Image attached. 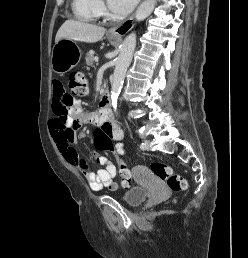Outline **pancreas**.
Instances as JSON below:
<instances>
[{
    "mask_svg": "<svg viewBox=\"0 0 248 258\" xmlns=\"http://www.w3.org/2000/svg\"><path fill=\"white\" fill-rule=\"evenodd\" d=\"M85 60H86V64H87L88 66H92V65H93V62H94V51H89V52L86 54Z\"/></svg>",
    "mask_w": 248,
    "mask_h": 258,
    "instance_id": "obj_1",
    "label": "pancreas"
}]
</instances>
